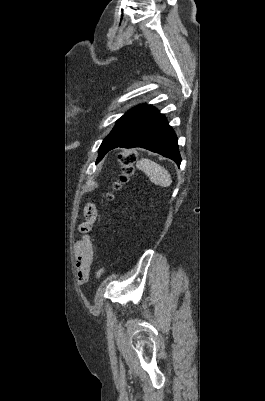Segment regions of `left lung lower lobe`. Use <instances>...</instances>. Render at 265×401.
Wrapping results in <instances>:
<instances>
[{"instance_id": "left-lung-lower-lobe-1", "label": "left lung lower lobe", "mask_w": 265, "mask_h": 401, "mask_svg": "<svg viewBox=\"0 0 265 401\" xmlns=\"http://www.w3.org/2000/svg\"><path fill=\"white\" fill-rule=\"evenodd\" d=\"M141 147L170 158L180 166L177 137L164 115L152 106L127 118L102 142L98 161L110 150Z\"/></svg>"}]
</instances>
